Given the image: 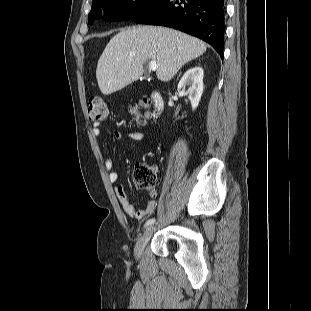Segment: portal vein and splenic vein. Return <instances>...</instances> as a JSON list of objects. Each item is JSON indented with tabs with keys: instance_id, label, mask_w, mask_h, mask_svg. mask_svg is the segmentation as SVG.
I'll return each instance as SVG.
<instances>
[{
	"instance_id": "obj_1",
	"label": "portal vein and splenic vein",
	"mask_w": 311,
	"mask_h": 311,
	"mask_svg": "<svg viewBox=\"0 0 311 311\" xmlns=\"http://www.w3.org/2000/svg\"><path fill=\"white\" fill-rule=\"evenodd\" d=\"M149 69L152 70V71H156V70L158 69L157 63L151 61V62L149 63Z\"/></svg>"
}]
</instances>
